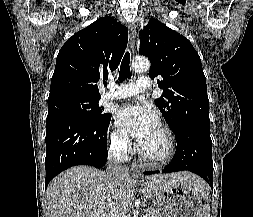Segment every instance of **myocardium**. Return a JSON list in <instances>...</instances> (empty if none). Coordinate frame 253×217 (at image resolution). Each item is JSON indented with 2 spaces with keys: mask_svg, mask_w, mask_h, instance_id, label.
<instances>
[{
  "mask_svg": "<svg viewBox=\"0 0 253 217\" xmlns=\"http://www.w3.org/2000/svg\"><path fill=\"white\" fill-rule=\"evenodd\" d=\"M158 128L163 132L167 140V151L165 155L158 158H152L141 150L139 144L136 147L140 159L153 166H160L168 163L174 157L176 151V142L172 130L163 124L159 125Z\"/></svg>",
  "mask_w": 253,
  "mask_h": 217,
  "instance_id": "1",
  "label": "myocardium"
}]
</instances>
